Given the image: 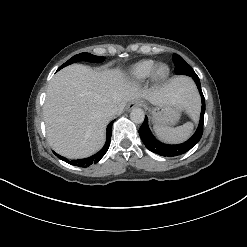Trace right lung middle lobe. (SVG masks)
<instances>
[{
	"mask_svg": "<svg viewBox=\"0 0 247 247\" xmlns=\"http://www.w3.org/2000/svg\"><path fill=\"white\" fill-rule=\"evenodd\" d=\"M104 57L102 56H95V55H92V54H89V53H80V54H77L75 56H73L71 59H69L67 62H65L62 66L59 67L58 70L62 69L63 67L67 66V65H70L72 63H75L77 61H89V62H96V63H99V62H102L104 61Z\"/></svg>",
	"mask_w": 247,
	"mask_h": 247,
	"instance_id": "obj_1",
	"label": "right lung middle lobe"
}]
</instances>
